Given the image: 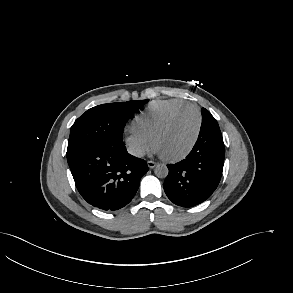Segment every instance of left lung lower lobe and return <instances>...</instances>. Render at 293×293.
<instances>
[{
    "label": "left lung lower lobe",
    "mask_w": 293,
    "mask_h": 293,
    "mask_svg": "<svg viewBox=\"0 0 293 293\" xmlns=\"http://www.w3.org/2000/svg\"><path fill=\"white\" fill-rule=\"evenodd\" d=\"M225 148L221 131L199 134L188 156L167 165L164 190L176 205L192 207L207 200L217 188L223 171Z\"/></svg>",
    "instance_id": "left-lung-lower-lobe-1"
}]
</instances>
